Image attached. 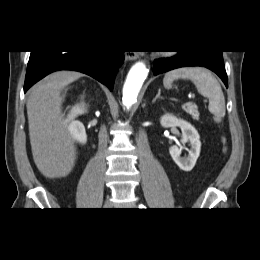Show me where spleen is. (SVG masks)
<instances>
[{"mask_svg": "<svg viewBox=\"0 0 260 260\" xmlns=\"http://www.w3.org/2000/svg\"><path fill=\"white\" fill-rule=\"evenodd\" d=\"M178 79H188L193 82L198 92L209 99L208 109L215 122H221L225 116V98L218 80L210 71L200 67H187L172 70L165 74L163 85L169 89Z\"/></svg>", "mask_w": 260, "mask_h": 260, "instance_id": "obj_1", "label": "spleen"}]
</instances>
